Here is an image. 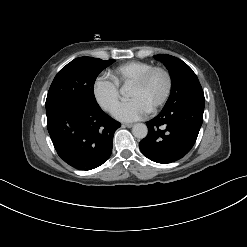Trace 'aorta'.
<instances>
[{"label": "aorta", "mask_w": 247, "mask_h": 247, "mask_svg": "<svg viewBox=\"0 0 247 247\" xmlns=\"http://www.w3.org/2000/svg\"><path fill=\"white\" fill-rule=\"evenodd\" d=\"M126 88L123 87L121 90V93H125ZM132 133L133 135L138 138V139H143L147 136L148 133V128L145 124L143 123H136L133 128H132Z\"/></svg>", "instance_id": "762f6f07"}]
</instances>
